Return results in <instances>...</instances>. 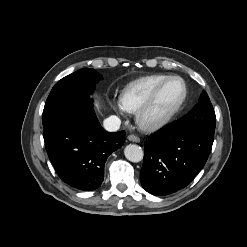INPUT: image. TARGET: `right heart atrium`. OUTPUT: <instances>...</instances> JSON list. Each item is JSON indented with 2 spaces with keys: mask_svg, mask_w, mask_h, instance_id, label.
Masks as SVG:
<instances>
[{
  "mask_svg": "<svg viewBox=\"0 0 247 247\" xmlns=\"http://www.w3.org/2000/svg\"><path fill=\"white\" fill-rule=\"evenodd\" d=\"M113 107H114L115 109L119 110V111H123V109H122V107H121L120 104H114V103H113Z\"/></svg>",
  "mask_w": 247,
  "mask_h": 247,
  "instance_id": "d8ad5b80",
  "label": "right heart atrium"
}]
</instances>
